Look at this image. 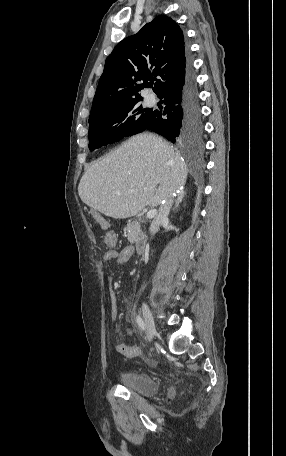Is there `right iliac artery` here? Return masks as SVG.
<instances>
[{
	"instance_id": "1",
	"label": "right iliac artery",
	"mask_w": 286,
	"mask_h": 456,
	"mask_svg": "<svg viewBox=\"0 0 286 456\" xmlns=\"http://www.w3.org/2000/svg\"><path fill=\"white\" fill-rule=\"evenodd\" d=\"M136 322L141 330H143V331L146 330V325L139 315L136 317Z\"/></svg>"
}]
</instances>
